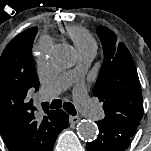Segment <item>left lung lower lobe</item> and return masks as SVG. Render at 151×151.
<instances>
[{"label":"left lung lower lobe","mask_w":151,"mask_h":151,"mask_svg":"<svg viewBox=\"0 0 151 151\" xmlns=\"http://www.w3.org/2000/svg\"><path fill=\"white\" fill-rule=\"evenodd\" d=\"M99 136L93 142L87 143L88 151H125L130 145L131 137L111 126L97 122Z\"/></svg>","instance_id":"left-lung-lower-lobe-1"}]
</instances>
